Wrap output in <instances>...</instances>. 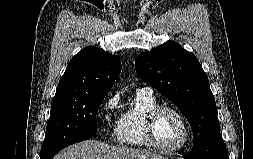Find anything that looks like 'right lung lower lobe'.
Returning <instances> with one entry per match:
<instances>
[{"label": "right lung lower lobe", "mask_w": 253, "mask_h": 159, "mask_svg": "<svg viewBox=\"0 0 253 159\" xmlns=\"http://www.w3.org/2000/svg\"><path fill=\"white\" fill-rule=\"evenodd\" d=\"M86 139H88V138H86ZM86 139L78 140V141H76V142L83 141V140H86ZM76 142H73V143H76ZM73 143H71V144H73ZM71 144H68V145H71ZM68 145H67V146H68ZM67 146H65V147H67ZM63 148H64V147H63ZM63 148H61V149H63ZM61 149H59L57 152H59ZM57 152H56V153H57ZM56 153L52 154L48 159H51Z\"/></svg>", "instance_id": "1"}]
</instances>
